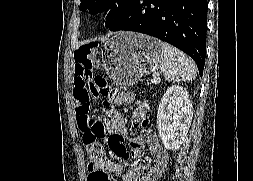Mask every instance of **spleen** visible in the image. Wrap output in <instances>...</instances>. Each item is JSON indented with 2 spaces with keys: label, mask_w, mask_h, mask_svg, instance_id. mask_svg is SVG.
I'll use <instances>...</instances> for the list:
<instances>
[{
  "label": "spleen",
  "mask_w": 253,
  "mask_h": 181,
  "mask_svg": "<svg viewBox=\"0 0 253 181\" xmlns=\"http://www.w3.org/2000/svg\"><path fill=\"white\" fill-rule=\"evenodd\" d=\"M161 49V71L167 81H192L196 78L197 67L192 59L165 42H161Z\"/></svg>",
  "instance_id": "spleen-1"
}]
</instances>
